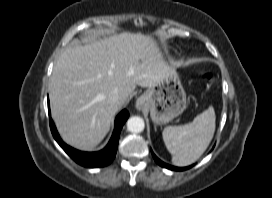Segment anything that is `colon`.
<instances>
[{"label": "colon", "instance_id": "obj_1", "mask_svg": "<svg viewBox=\"0 0 272 198\" xmlns=\"http://www.w3.org/2000/svg\"><path fill=\"white\" fill-rule=\"evenodd\" d=\"M201 79L204 81H211L212 80V75L210 73H205L201 76Z\"/></svg>", "mask_w": 272, "mask_h": 198}]
</instances>
